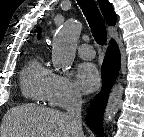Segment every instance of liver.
<instances>
[{
  "mask_svg": "<svg viewBox=\"0 0 144 137\" xmlns=\"http://www.w3.org/2000/svg\"><path fill=\"white\" fill-rule=\"evenodd\" d=\"M67 113L25 104L9 109L1 124L0 137H79Z\"/></svg>",
  "mask_w": 144,
  "mask_h": 137,
  "instance_id": "6515ba94",
  "label": "liver"
}]
</instances>
